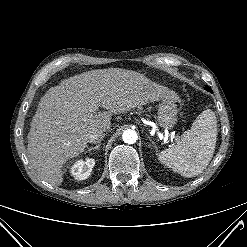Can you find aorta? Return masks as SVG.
Wrapping results in <instances>:
<instances>
[{
	"label": "aorta",
	"instance_id": "1",
	"mask_svg": "<svg viewBox=\"0 0 247 247\" xmlns=\"http://www.w3.org/2000/svg\"><path fill=\"white\" fill-rule=\"evenodd\" d=\"M122 138L125 143L133 144L136 142L138 136L136 131L128 129L123 132Z\"/></svg>",
	"mask_w": 247,
	"mask_h": 247
}]
</instances>
